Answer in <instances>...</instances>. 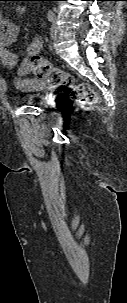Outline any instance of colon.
<instances>
[{
  "mask_svg": "<svg viewBox=\"0 0 127 303\" xmlns=\"http://www.w3.org/2000/svg\"><path fill=\"white\" fill-rule=\"evenodd\" d=\"M30 62L36 75L43 79L51 88H69L70 92H63L60 101L66 105H73L77 102L83 104H94L96 95L93 88L86 83L75 84L74 78L67 72L53 67L45 58L39 54H32Z\"/></svg>",
  "mask_w": 127,
  "mask_h": 303,
  "instance_id": "colon-1",
  "label": "colon"
}]
</instances>
